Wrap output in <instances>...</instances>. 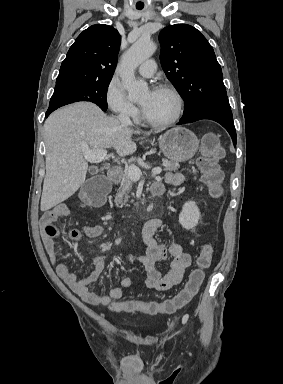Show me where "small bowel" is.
Instances as JSON below:
<instances>
[{"instance_id": "1", "label": "small bowel", "mask_w": 283, "mask_h": 384, "mask_svg": "<svg viewBox=\"0 0 283 384\" xmlns=\"http://www.w3.org/2000/svg\"><path fill=\"white\" fill-rule=\"evenodd\" d=\"M165 182L178 186L185 181V177L180 173H168L164 178ZM162 188V183H159ZM69 214L65 204H57L49 209L41 218L42 237L45 249L52 264L55 266L58 276L86 303L91 305H109L116 303L125 291L131 286V279L124 277L120 279L118 286L109 290L107 294H97L89 290V285L94 282L102 273L107 257L100 255L95 258L91 271L81 279L69 269V267L59 260V251L54 242L53 234L49 233V227H54L53 223L58 219L64 218ZM162 227V221L158 218L148 220L142 229V237L147 246L144 256L128 255L127 259L131 262L141 263L147 277L144 287L155 290H168L178 285L186 269L191 265V257L184 250L183 246L176 243L161 242L155 238L156 232ZM84 235L88 238H97L103 232L101 225L84 226ZM169 262V271L162 275L156 266L157 262Z\"/></svg>"}]
</instances>
